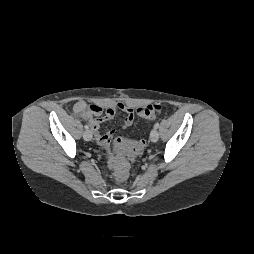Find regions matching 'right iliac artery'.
Here are the masks:
<instances>
[{"label": "right iliac artery", "instance_id": "1", "mask_svg": "<svg viewBox=\"0 0 254 254\" xmlns=\"http://www.w3.org/2000/svg\"><path fill=\"white\" fill-rule=\"evenodd\" d=\"M84 127H85V129H86V130H88V129H89V126H88V125H85Z\"/></svg>", "mask_w": 254, "mask_h": 254}]
</instances>
